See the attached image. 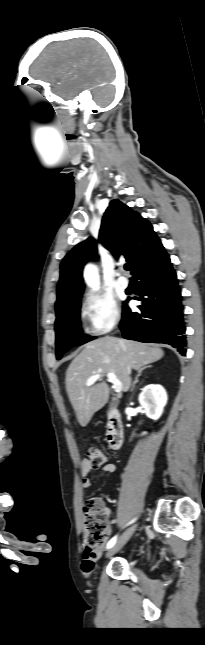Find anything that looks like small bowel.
<instances>
[{"instance_id":"obj_1","label":"small bowel","mask_w":205,"mask_h":645,"mask_svg":"<svg viewBox=\"0 0 205 645\" xmlns=\"http://www.w3.org/2000/svg\"><path fill=\"white\" fill-rule=\"evenodd\" d=\"M93 469L94 467L90 464V462L87 459H83L81 461L80 475H81V485L83 489H87L91 486V480L89 478V474ZM115 469H116V466L112 463H107L102 467V470L108 473L114 472ZM105 514L108 518L111 515V511L109 509H105ZM101 550H102V547L98 548L95 552L85 549L84 555H83V563L86 564L88 567L92 568L96 561L97 554L100 553Z\"/></svg>"}]
</instances>
